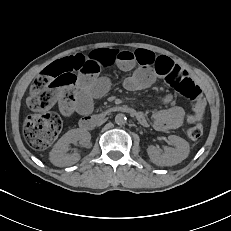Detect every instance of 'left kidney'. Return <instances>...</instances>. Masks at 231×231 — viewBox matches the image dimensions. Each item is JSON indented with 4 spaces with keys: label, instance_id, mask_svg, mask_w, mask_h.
<instances>
[{
    "label": "left kidney",
    "instance_id": "obj_1",
    "mask_svg": "<svg viewBox=\"0 0 231 231\" xmlns=\"http://www.w3.org/2000/svg\"><path fill=\"white\" fill-rule=\"evenodd\" d=\"M169 140L175 144V148H166L161 154L155 146H149L147 153L150 160L159 166H172L186 159L190 152L189 143L176 135H170Z\"/></svg>",
    "mask_w": 231,
    "mask_h": 231
}]
</instances>
